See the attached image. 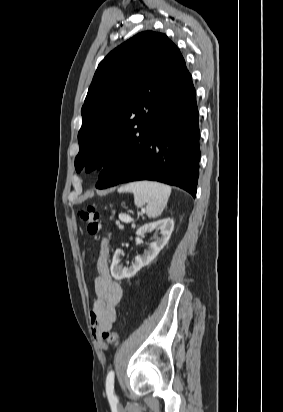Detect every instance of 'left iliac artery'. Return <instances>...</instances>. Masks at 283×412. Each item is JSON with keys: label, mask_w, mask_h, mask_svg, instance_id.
Here are the masks:
<instances>
[{"label": "left iliac artery", "mask_w": 283, "mask_h": 412, "mask_svg": "<svg viewBox=\"0 0 283 412\" xmlns=\"http://www.w3.org/2000/svg\"><path fill=\"white\" fill-rule=\"evenodd\" d=\"M106 393L110 401H117L114 395V371H110L106 378Z\"/></svg>", "instance_id": "obj_1"}]
</instances>
